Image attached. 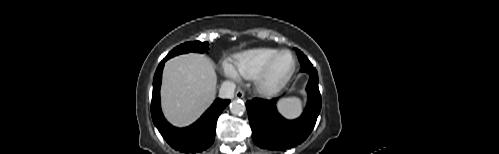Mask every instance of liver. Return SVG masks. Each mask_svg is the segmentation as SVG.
<instances>
[{
	"label": "liver",
	"instance_id": "liver-1",
	"mask_svg": "<svg viewBox=\"0 0 499 154\" xmlns=\"http://www.w3.org/2000/svg\"><path fill=\"white\" fill-rule=\"evenodd\" d=\"M217 76L203 54L189 53L168 60L161 88L162 109L177 127L196 121L215 98Z\"/></svg>",
	"mask_w": 499,
	"mask_h": 154
}]
</instances>
